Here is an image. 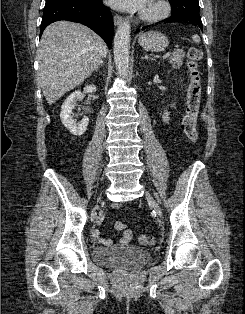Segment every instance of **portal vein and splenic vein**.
I'll return each instance as SVG.
<instances>
[{
    "label": "portal vein and splenic vein",
    "mask_w": 245,
    "mask_h": 314,
    "mask_svg": "<svg viewBox=\"0 0 245 314\" xmlns=\"http://www.w3.org/2000/svg\"><path fill=\"white\" fill-rule=\"evenodd\" d=\"M169 56H170V52H167V53H165V54L163 55V58L166 59V58H168Z\"/></svg>",
    "instance_id": "18ae733b"
}]
</instances>
